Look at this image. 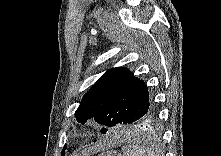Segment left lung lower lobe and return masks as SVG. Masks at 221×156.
I'll use <instances>...</instances> for the list:
<instances>
[{
	"label": "left lung lower lobe",
	"mask_w": 221,
	"mask_h": 156,
	"mask_svg": "<svg viewBox=\"0 0 221 156\" xmlns=\"http://www.w3.org/2000/svg\"><path fill=\"white\" fill-rule=\"evenodd\" d=\"M156 122H157V114L156 111L154 110V112H151L150 114H148V116L146 117L143 116L142 118L135 121L133 125L139 128H144V127L149 128L154 126Z\"/></svg>",
	"instance_id": "0a47b994"
}]
</instances>
